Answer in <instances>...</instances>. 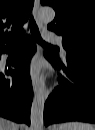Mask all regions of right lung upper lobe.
Masks as SVG:
<instances>
[{"label": "right lung upper lobe", "mask_w": 95, "mask_h": 130, "mask_svg": "<svg viewBox=\"0 0 95 130\" xmlns=\"http://www.w3.org/2000/svg\"><path fill=\"white\" fill-rule=\"evenodd\" d=\"M34 0H0V51L10 48L23 31Z\"/></svg>", "instance_id": "right-lung-upper-lobe-1"}]
</instances>
